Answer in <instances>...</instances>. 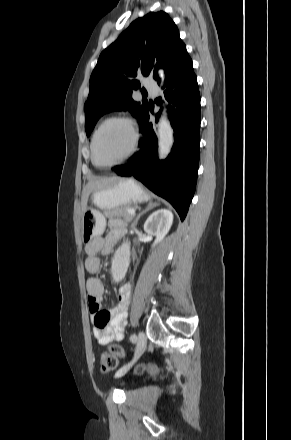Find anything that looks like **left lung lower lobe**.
Here are the masks:
<instances>
[{"instance_id": "obj_1", "label": "left lung lower lobe", "mask_w": 291, "mask_h": 440, "mask_svg": "<svg viewBox=\"0 0 291 440\" xmlns=\"http://www.w3.org/2000/svg\"><path fill=\"white\" fill-rule=\"evenodd\" d=\"M165 86V98L170 103L169 118L175 132L171 154L164 161L158 160L157 138L149 122L148 109L140 125V132L144 135L139 141L140 150L129 163L112 170L119 176H134L168 200L183 221L196 187L201 120L197 78L187 52L167 73Z\"/></svg>"}]
</instances>
